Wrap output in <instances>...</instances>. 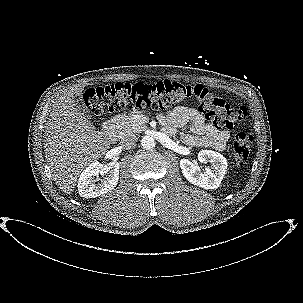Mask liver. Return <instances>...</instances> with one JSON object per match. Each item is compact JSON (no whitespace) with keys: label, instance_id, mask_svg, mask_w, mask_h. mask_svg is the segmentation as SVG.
<instances>
[{"label":"liver","instance_id":"6515ba94","mask_svg":"<svg viewBox=\"0 0 303 303\" xmlns=\"http://www.w3.org/2000/svg\"><path fill=\"white\" fill-rule=\"evenodd\" d=\"M84 86H74L56 97L45 127L44 152L57 186L71 194L79 175L110 148L109 132L96 131L77 110L75 97Z\"/></svg>","mask_w":303,"mask_h":303}]
</instances>
